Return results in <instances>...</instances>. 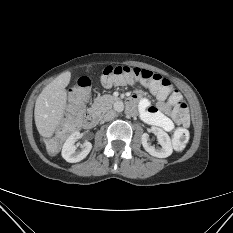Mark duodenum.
<instances>
[{
  "mask_svg": "<svg viewBox=\"0 0 233 233\" xmlns=\"http://www.w3.org/2000/svg\"><path fill=\"white\" fill-rule=\"evenodd\" d=\"M128 108L129 110H131V104H129ZM97 121H98L97 113L94 111H89L85 116L84 125L87 128H92L96 125Z\"/></svg>",
  "mask_w": 233,
  "mask_h": 233,
  "instance_id": "duodenum-1",
  "label": "duodenum"
}]
</instances>
